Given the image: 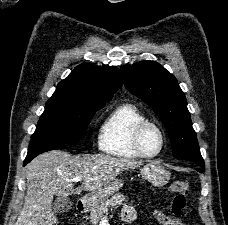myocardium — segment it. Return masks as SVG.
I'll list each match as a JSON object with an SVG mask.
<instances>
[{"mask_svg": "<svg viewBox=\"0 0 228 225\" xmlns=\"http://www.w3.org/2000/svg\"><path fill=\"white\" fill-rule=\"evenodd\" d=\"M150 128H153L155 130H157L161 136V146L160 149L154 153V154H150L148 153L143 145V137L146 133V131ZM134 146L136 148V150L145 158H156L158 156H160L166 146V141H167V137H166V133L165 130L163 129V127L158 124L157 122L151 121V120H146L142 123H140L134 133Z\"/></svg>", "mask_w": 228, "mask_h": 225, "instance_id": "myocardium-1", "label": "myocardium"}]
</instances>
